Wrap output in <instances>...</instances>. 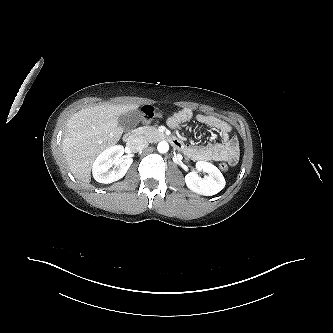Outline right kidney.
<instances>
[{
	"label": "right kidney",
	"instance_id": "1",
	"mask_svg": "<svg viewBox=\"0 0 333 333\" xmlns=\"http://www.w3.org/2000/svg\"><path fill=\"white\" fill-rule=\"evenodd\" d=\"M123 154L124 147L121 145L112 146L99 154L93 163L94 179L99 183L109 184L124 177L133 159L124 158ZM113 165H116L117 168L112 170Z\"/></svg>",
	"mask_w": 333,
	"mask_h": 333
}]
</instances>
